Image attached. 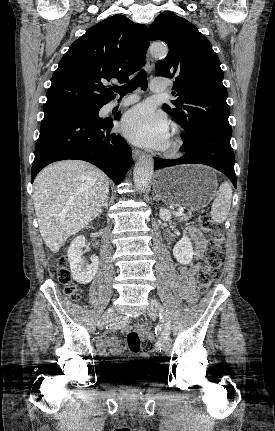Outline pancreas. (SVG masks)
Listing matches in <instances>:
<instances>
[{
    "instance_id": "pancreas-1",
    "label": "pancreas",
    "mask_w": 275,
    "mask_h": 431,
    "mask_svg": "<svg viewBox=\"0 0 275 431\" xmlns=\"http://www.w3.org/2000/svg\"><path fill=\"white\" fill-rule=\"evenodd\" d=\"M177 218L181 222H186V221H188L191 218V215H181V216H177Z\"/></svg>"
}]
</instances>
